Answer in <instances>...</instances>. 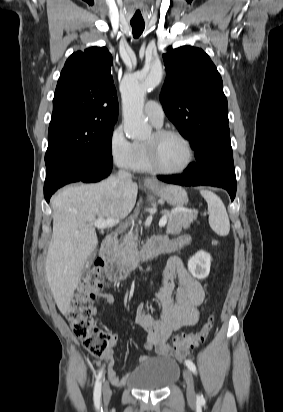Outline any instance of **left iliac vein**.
<instances>
[{
	"label": "left iliac vein",
	"mask_w": 283,
	"mask_h": 412,
	"mask_svg": "<svg viewBox=\"0 0 283 412\" xmlns=\"http://www.w3.org/2000/svg\"><path fill=\"white\" fill-rule=\"evenodd\" d=\"M183 374L187 385V399L189 402H194L196 400V392L193 375L189 369H185Z\"/></svg>",
	"instance_id": "obj_1"
}]
</instances>
